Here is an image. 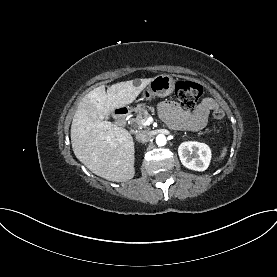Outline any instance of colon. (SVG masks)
Wrapping results in <instances>:
<instances>
[{"label":"colon","mask_w":277,"mask_h":277,"mask_svg":"<svg viewBox=\"0 0 277 277\" xmlns=\"http://www.w3.org/2000/svg\"><path fill=\"white\" fill-rule=\"evenodd\" d=\"M202 93V86L192 81H179L175 86V95L185 108L194 107ZM213 118L218 122L222 121L224 112L221 109H216L213 112Z\"/></svg>","instance_id":"1"}]
</instances>
